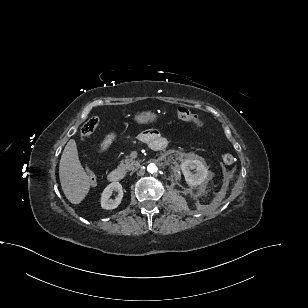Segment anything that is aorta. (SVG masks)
<instances>
[{"label":"aorta","mask_w":308,"mask_h":308,"mask_svg":"<svg viewBox=\"0 0 308 308\" xmlns=\"http://www.w3.org/2000/svg\"><path fill=\"white\" fill-rule=\"evenodd\" d=\"M147 171L149 173H155L157 171V167L155 164L151 163L147 166Z\"/></svg>","instance_id":"1"}]
</instances>
